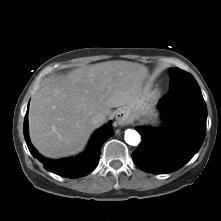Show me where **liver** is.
I'll return each mask as SVG.
<instances>
[{
  "label": "liver",
  "instance_id": "obj_1",
  "mask_svg": "<svg viewBox=\"0 0 221 221\" xmlns=\"http://www.w3.org/2000/svg\"><path fill=\"white\" fill-rule=\"evenodd\" d=\"M145 66L109 61L80 68L63 79L45 84L32 98L29 109L30 139L49 158L77 153L95 129L91 118L112 108L127 110L141 100Z\"/></svg>",
  "mask_w": 221,
  "mask_h": 221
}]
</instances>
